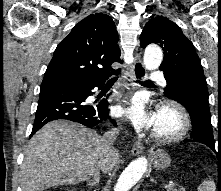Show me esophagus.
<instances>
[{"label":"esophagus","instance_id":"34e87169","mask_svg":"<svg viewBox=\"0 0 221 191\" xmlns=\"http://www.w3.org/2000/svg\"><path fill=\"white\" fill-rule=\"evenodd\" d=\"M133 81L139 82L144 81L146 78V70L143 65L142 59L138 58L135 60L132 66V76ZM144 145L141 141H136L132 147L131 153L136 156L143 152Z\"/></svg>","mask_w":221,"mask_h":191}]
</instances>
